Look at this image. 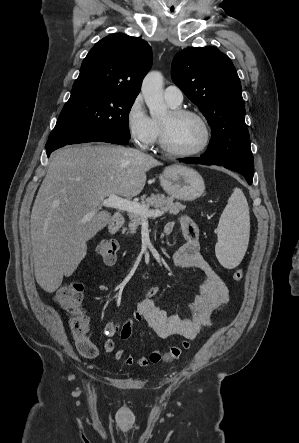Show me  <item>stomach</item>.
Instances as JSON below:
<instances>
[{"mask_svg": "<svg viewBox=\"0 0 299 443\" xmlns=\"http://www.w3.org/2000/svg\"><path fill=\"white\" fill-rule=\"evenodd\" d=\"M159 179L169 196L182 201H193L205 190L202 176L196 170L183 165L166 167Z\"/></svg>", "mask_w": 299, "mask_h": 443, "instance_id": "stomach-1", "label": "stomach"}]
</instances>
